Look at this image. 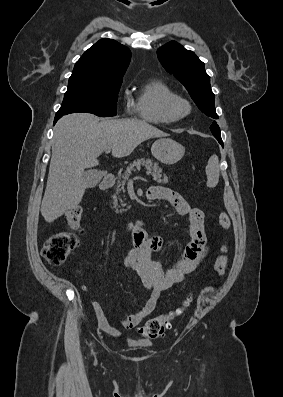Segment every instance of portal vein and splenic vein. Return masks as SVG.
Returning <instances> with one entry per match:
<instances>
[{
  "mask_svg": "<svg viewBox=\"0 0 283 397\" xmlns=\"http://www.w3.org/2000/svg\"><path fill=\"white\" fill-rule=\"evenodd\" d=\"M110 151H111V148H110V147H108V148L105 149V153H106V154L110 153Z\"/></svg>",
  "mask_w": 283,
  "mask_h": 397,
  "instance_id": "1",
  "label": "portal vein and splenic vein"
}]
</instances>
